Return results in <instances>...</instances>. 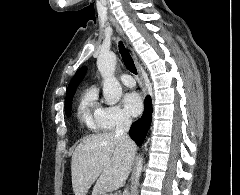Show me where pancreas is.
<instances>
[{
    "instance_id": "cf45deb5",
    "label": "pancreas",
    "mask_w": 240,
    "mask_h": 195,
    "mask_svg": "<svg viewBox=\"0 0 240 195\" xmlns=\"http://www.w3.org/2000/svg\"><path fill=\"white\" fill-rule=\"evenodd\" d=\"M94 193H103V191H101V189H98V187H96V189H94Z\"/></svg>"
}]
</instances>
